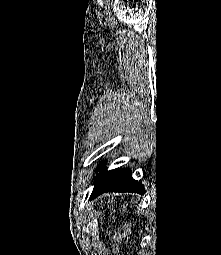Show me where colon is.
I'll return each instance as SVG.
<instances>
[{
    "label": "colon",
    "instance_id": "1",
    "mask_svg": "<svg viewBox=\"0 0 221 255\" xmlns=\"http://www.w3.org/2000/svg\"><path fill=\"white\" fill-rule=\"evenodd\" d=\"M127 212L126 210V207L125 206H121L120 209H119V213L121 215H125ZM131 233V224L129 221H127L123 227L121 228V230L117 233H115L112 237L113 239V244H114V247H115V252L117 253L119 250H118V245L121 241H124L126 239H128L129 235Z\"/></svg>",
    "mask_w": 221,
    "mask_h": 255
}]
</instances>
